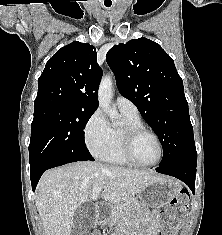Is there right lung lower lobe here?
Returning <instances> with one entry per match:
<instances>
[{
  "label": "right lung lower lobe",
  "mask_w": 222,
  "mask_h": 235,
  "mask_svg": "<svg viewBox=\"0 0 222 235\" xmlns=\"http://www.w3.org/2000/svg\"><path fill=\"white\" fill-rule=\"evenodd\" d=\"M94 161V158H84V157H57L49 159L42 164H40L38 167L30 169V177H31V183H32V189L35 190L37 183L41 177V175L50 168L64 165L66 163L76 162V161Z\"/></svg>",
  "instance_id": "98d812e1"
}]
</instances>
